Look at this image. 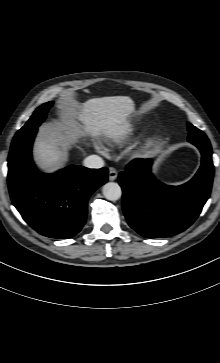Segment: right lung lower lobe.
<instances>
[{
  "instance_id": "obj_1",
  "label": "right lung lower lobe",
  "mask_w": 220,
  "mask_h": 363,
  "mask_svg": "<svg viewBox=\"0 0 220 363\" xmlns=\"http://www.w3.org/2000/svg\"><path fill=\"white\" fill-rule=\"evenodd\" d=\"M37 128L13 140L8 157V186L12 203L40 234L71 238L85 223L90 195L106 183L108 169L67 166L55 174L36 170L31 148Z\"/></svg>"
}]
</instances>
